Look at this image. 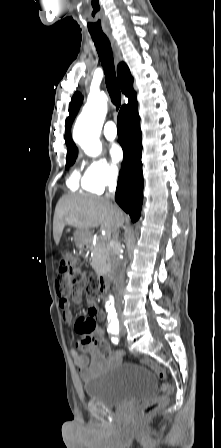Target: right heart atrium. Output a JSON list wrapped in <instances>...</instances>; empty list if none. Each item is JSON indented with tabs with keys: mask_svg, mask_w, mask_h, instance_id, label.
Listing matches in <instances>:
<instances>
[{
	"mask_svg": "<svg viewBox=\"0 0 221 448\" xmlns=\"http://www.w3.org/2000/svg\"><path fill=\"white\" fill-rule=\"evenodd\" d=\"M119 170L105 158H93L87 161L82 177L84 188L93 193H101L107 187L117 183Z\"/></svg>",
	"mask_w": 221,
	"mask_h": 448,
	"instance_id": "obj_1",
	"label": "right heart atrium"
}]
</instances>
